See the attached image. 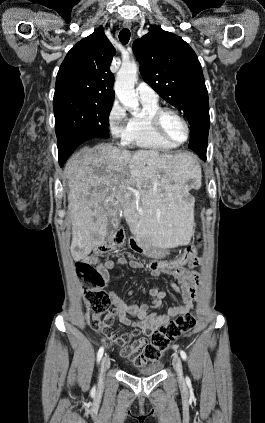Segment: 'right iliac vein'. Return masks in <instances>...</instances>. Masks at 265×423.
<instances>
[{"instance_id":"63e3f726","label":"right iliac vein","mask_w":265,"mask_h":423,"mask_svg":"<svg viewBox=\"0 0 265 423\" xmlns=\"http://www.w3.org/2000/svg\"><path fill=\"white\" fill-rule=\"evenodd\" d=\"M110 368V359L108 356H104L101 362V376L103 377L108 369Z\"/></svg>"}]
</instances>
